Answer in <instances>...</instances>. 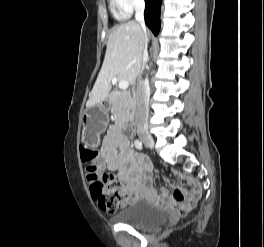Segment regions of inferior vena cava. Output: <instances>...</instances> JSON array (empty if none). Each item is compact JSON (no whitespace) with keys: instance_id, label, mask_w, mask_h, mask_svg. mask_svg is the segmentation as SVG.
Wrapping results in <instances>:
<instances>
[{"instance_id":"inferior-vena-cava-1","label":"inferior vena cava","mask_w":264,"mask_h":247,"mask_svg":"<svg viewBox=\"0 0 264 247\" xmlns=\"http://www.w3.org/2000/svg\"><path fill=\"white\" fill-rule=\"evenodd\" d=\"M144 0H138L135 5V19L139 23L143 33L146 35V26L144 21ZM142 52V63L143 65L148 59L147 53V39L145 38L141 47ZM150 97V86L147 80L139 81L136 85V113L135 123L137 127H141L146 124L148 117V104Z\"/></svg>"}]
</instances>
